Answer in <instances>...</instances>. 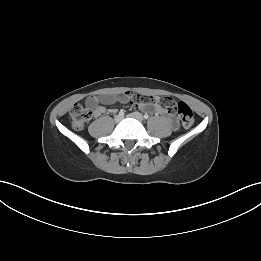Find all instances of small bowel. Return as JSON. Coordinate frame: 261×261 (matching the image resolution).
Masks as SVG:
<instances>
[{
	"label": "small bowel",
	"mask_w": 261,
	"mask_h": 261,
	"mask_svg": "<svg viewBox=\"0 0 261 261\" xmlns=\"http://www.w3.org/2000/svg\"><path fill=\"white\" fill-rule=\"evenodd\" d=\"M115 103H129L139 107L144 112L160 114L168 120L174 129L178 126L174 115L162 106L159 98L142 95L136 91L125 92L123 95L90 96L85 101L86 107L95 117H100L102 114L110 111L104 105Z\"/></svg>",
	"instance_id": "small-bowel-1"
}]
</instances>
